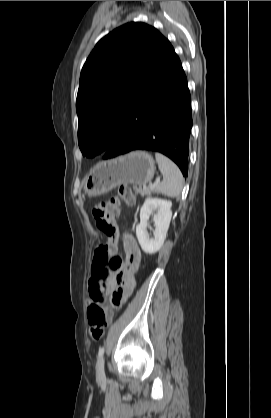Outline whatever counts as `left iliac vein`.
Instances as JSON below:
<instances>
[{
	"label": "left iliac vein",
	"mask_w": 271,
	"mask_h": 418,
	"mask_svg": "<svg viewBox=\"0 0 271 418\" xmlns=\"http://www.w3.org/2000/svg\"><path fill=\"white\" fill-rule=\"evenodd\" d=\"M96 372H97V379L99 381L105 379V371H104V357L101 356L96 364Z\"/></svg>",
	"instance_id": "4c4485c4"
}]
</instances>
